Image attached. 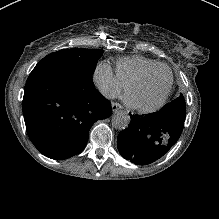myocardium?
Wrapping results in <instances>:
<instances>
[{
    "label": "myocardium",
    "mask_w": 219,
    "mask_h": 219,
    "mask_svg": "<svg viewBox=\"0 0 219 219\" xmlns=\"http://www.w3.org/2000/svg\"><path fill=\"white\" fill-rule=\"evenodd\" d=\"M161 69H167L169 74H170V82H169L168 88L165 90L162 97L158 101H156L155 103H153L151 105H141V104L135 103L131 98V93H132L133 89L135 88V86H137L138 84H140L143 81H146V80L150 79L151 77L156 75ZM173 82H174L173 71L171 70L170 67H168L166 65H160L157 69L150 70V71L142 73L133 82H131L130 85L128 86V88H127V93L126 94H127V96L129 97V100H130V106H132L133 108H135L139 111H143V112L153 111V110L159 108L167 100V98H168V96L171 92Z\"/></svg>",
    "instance_id": "1"
}]
</instances>
